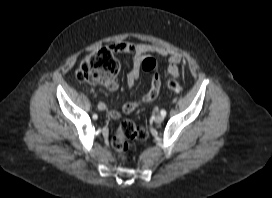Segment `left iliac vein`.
<instances>
[{"label": "left iliac vein", "instance_id": "1", "mask_svg": "<svg viewBox=\"0 0 272 198\" xmlns=\"http://www.w3.org/2000/svg\"><path fill=\"white\" fill-rule=\"evenodd\" d=\"M163 120H164V116H162L161 114L156 115L154 119L156 123H161Z\"/></svg>", "mask_w": 272, "mask_h": 198}]
</instances>
